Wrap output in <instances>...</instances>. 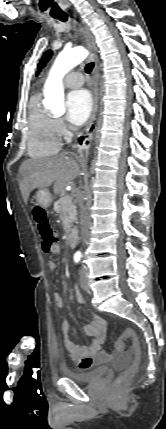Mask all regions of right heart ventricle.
Masks as SVG:
<instances>
[{
    "instance_id": "right-heart-ventricle-1",
    "label": "right heart ventricle",
    "mask_w": 166,
    "mask_h": 429,
    "mask_svg": "<svg viewBox=\"0 0 166 429\" xmlns=\"http://www.w3.org/2000/svg\"><path fill=\"white\" fill-rule=\"evenodd\" d=\"M54 119L41 106L40 96H32L28 113L27 150L33 158L54 155L60 148Z\"/></svg>"
}]
</instances>
